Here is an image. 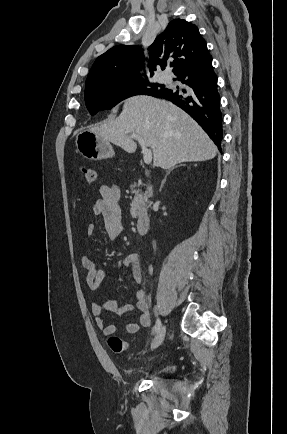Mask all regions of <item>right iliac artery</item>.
<instances>
[{"mask_svg":"<svg viewBox=\"0 0 287 434\" xmlns=\"http://www.w3.org/2000/svg\"><path fill=\"white\" fill-rule=\"evenodd\" d=\"M160 329H161V321H160L159 318H157L156 324H155V327H154V333H158L160 331Z\"/></svg>","mask_w":287,"mask_h":434,"instance_id":"right-iliac-artery-1","label":"right iliac artery"}]
</instances>
